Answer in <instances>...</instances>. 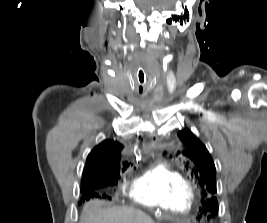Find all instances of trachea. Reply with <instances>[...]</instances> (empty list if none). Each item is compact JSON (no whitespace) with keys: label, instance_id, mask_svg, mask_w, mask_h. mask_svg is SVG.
Wrapping results in <instances>:
<instances>
[{"label":"trachea","instance_id":"3493384b","mask_svg":"<svg viewBox=\"0 0 267 223\" xmlns=\"http://www.w3.org/2000/svg\"><path fill=\"white\" fill-rule=\"evenodd\" d=\"M138 82L143 85L145 82V76H144V72L142 70H139L138 72Z\"/></svg>","mask_w":267,"mask_h":223}]
</instances>
